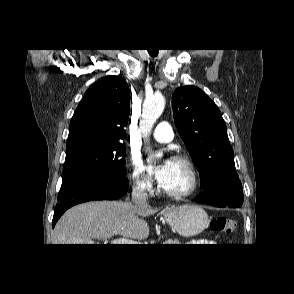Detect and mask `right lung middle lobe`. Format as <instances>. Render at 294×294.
I'll return each instance as SVG.
<instances>
[{"label": "right lung middle lobe", "mask_w": 294, "mask_h": 294, "mask_svg": "<svg viewBox=\"0 0 294 294\" xmlns=\"http://www.w3.org/2000/svg\"><path fill=\"white\" fill-rule=\"evenodd\" d=\"M80 176L124 179L126 176L124 144L95 140L67 144L62 184Z\"/></svg>", "instance_id": "obj_1"}]
</instances>
